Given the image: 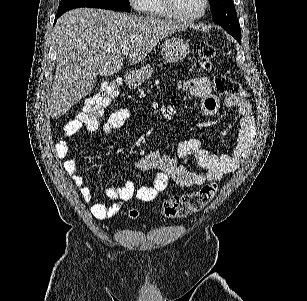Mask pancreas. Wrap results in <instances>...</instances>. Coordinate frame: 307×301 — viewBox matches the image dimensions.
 <instances>
[{"label":"pancreas","instance_id":"cf45deb5","mask_svg":"<svg viewBox=\"0 0 307 301\" xmlns=\"http://www.w3.org/2000/svg\"><path fill=\"white\" fill-rule=\"evenodd\" d=\"M148 82H149V84H150L151 80H148Z\"/></svg>","mask_w":307,"mask_h":301}]
</instances>
